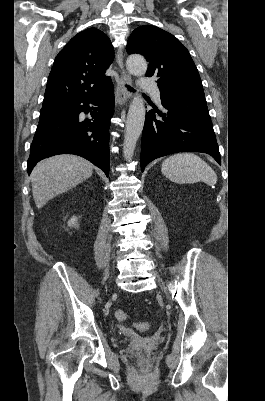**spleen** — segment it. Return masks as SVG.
<instances>
[{
	"label": "spleen",
	"instance_id": "3e777b00",
	"mask_svg": "<svg viewBox=\"0 0 265 401\" xmlns=\"http://www.w3.org/2000/svg\"><path fill=\"white\" fill-rule=\"evenodd\" d=\"M161 172L172 182L178 184H193L198 180H203L209 186L217 182V174L205 160H202L193 152H180L165 158L161 164Z\"/></svg>",
	"mask_w": 265,
	"mask_h": 401
}]
</instances>
